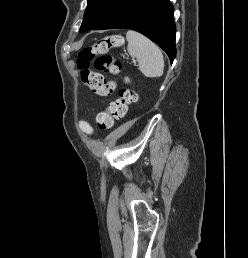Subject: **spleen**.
<instances>
[{
  "instance_id": "spleen-1",
  "label": "spleen",
  "mask_w": 248,
  "mask_h": 258,
  "mask_svg": "<svg viewBox=\"0 0 248 258\" xmlns=\"http://www.w3.org/2000/svg\"><path fill=\"white\" fill-rule=\"evenodd\" d=\"M127 50L136 57L140 71L149 78L161 77L164 70V58L159 47L147 37L133 30L126 33Z\"/></svg>"
}]
</instances>
